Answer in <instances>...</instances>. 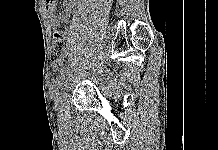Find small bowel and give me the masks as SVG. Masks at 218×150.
Returning a JSON list of instances; mask_svg holds the SVG:
<instances>
[{
	"instance_id": "obj_1",
	"label": "small bowel",
	"mask_w": 218,
	"mask_h": 150,
	"mask_svg": "<svg viewBox=\"0 0 218 150\" xmlns=\"http://www.w3.org/2000/svg\"><path fill=\"white\" fill-rule=\"evenodd\" d=\"M73 1L74 0H64L63 8L57 14L54 13L57 0H46V8L50 13L52 25L57 29L60 23L67 22L70 14L73 11Z\"/></svg>"
}]
</instances>
